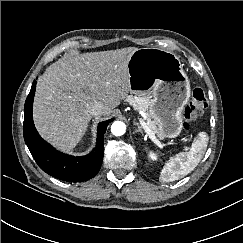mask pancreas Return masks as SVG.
Returning a JSON list of instances; mask_svg holds the SVG:
<instances>
[{
    "instance_id": "1",
    "label": "pancreas",
    "mask_w": 243,
    "mask_h": 243,
    "mask_svg": "<svg viewBox=\"0 0 243 243\" xmlns=\"http://www.w3.org/2000/svg\"><path fill=\"white\" fill-rule=\"evenodd\" d=\"M128 103L137 111L144 112L147 116V125L150 128L153 134H158L161 138H163L161 132L159 131L156 123L150 119L149 113V98L148 97H140V96H129L127 99Z\"/></svg>"
}]
</instances>
